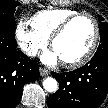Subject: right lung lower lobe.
<instances>
[{
    "label": "right lung lower lobe",
    "mask_w": 108,
    "mask_h": 108,
    "mask_svg": "<svg viewBox=\"0 0 108 108\" xmlns=\"http://www.w3.org/2000/svg\"><path fill=\"white\" fill-rule=\"evenodd\" d=\"M38 78V66L17 48L14 33L0 29V108L16 107L23 86Z\"/></svg>",
    "instance_id": "right-lung-lower-lobe-1"
}]
</instances>
